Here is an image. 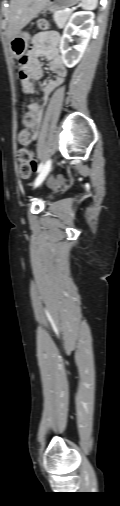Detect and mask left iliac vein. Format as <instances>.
Returning a JSON list of instances; mask_svg holds the SVG:
<instances>
[{
	"mask_svg": "<svg viewBox=\"0 0 120 506\" xmlns=\"http://www.w3.org/2000/svg\"><path fill=\"white\" fill-rule=\"evenodd\" d=\"M51 165H52V161L51 160H48L45 163L42 171L40 172V174L38 175V177L36 178V180L34 182V187L39 186L44 181V179L46 178V176L48 175V173H49V171L51 169Z\"/></svg>",
	"mask_w": 120,
	"mask_h": 506,
	"instance_id": "4c4485c4",
	"label": "left iliac vein"
}]
</instances>
